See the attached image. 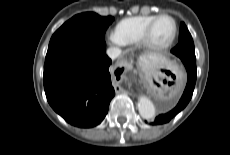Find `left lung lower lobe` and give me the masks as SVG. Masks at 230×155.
Listing matches in <instances>:
<instances>
[{"label": "left lung lower lobe", "instance_id": "0a47b994", "mask_svg": "<svg viewBox=\"0 0 230 155\" xmlns=\"http://www.w3.org/2000/svg\"><path fill=\"white\" fill-rule=\"evenodd\" d=\"M182 62L184 63L187 70V85L183 95L178 104L172 110L167 113L158 115L155 120L150 122L151 125H161L168 123L173 117H175L181 110L186 107L192 97L197 77L196 61H193L192 59H183Z\"/></svg>", "mask_w": 230, "mask_h": 155}]
</instances>
